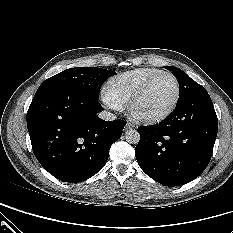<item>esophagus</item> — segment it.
<instances>
[{"mask_svg": "<svg viewBox=\"0 0 233 233\" xmlns=\"http://www.w3.org/2000/svg\"><path fill=\"white\" fill-rule=\"evenodd\" d=\"M135 126L131 123H127L126 126H125V130H129L131 128H134Z\"/></svg>", "mask_w": 233, "mask_h": 233, "instance_id": "esophagus-1", "label": "esophagus"}]
</instances>
